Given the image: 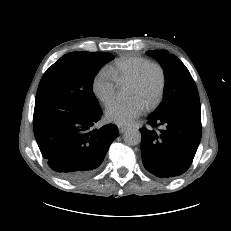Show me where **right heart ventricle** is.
I'll use <instances>...</instances> for the list:
<instances>
[{
  "instance_id": "right-heart-ventricle-1",
  "label": "right heart ventricle",
  "mask_w": 231,
  "mask_h": 231,
  "mask_svg": "<svg viewBox=\"0 0 231 231\" xmlns=\"http://www.w3.org/2000/svg\"><path fill=\"white\" fill-rule=\"evenodd\" d=\"M150 60L146 57L127 55L116 59L106 69L119 86L129 85L139 70Z\"/></svg>"
}]
</instances>
